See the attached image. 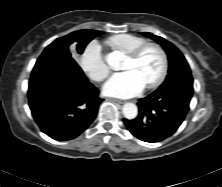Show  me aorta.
Wrapping results in <instances>:
<instances>
[{
	"label": "aorta",
	"instance_id": "aorta-1",
	"mask_svg": "<svg viewBox=\"0 0 222 187\" xmlns=\"http://www.w3.org/2000/svg\"><path fill=\"white\" fill-rule=\"evenodd\" d=\"M121 59V56L117 52H113L106 57V61L110 66L116 65ZM122 112L125 118L132 120L137 117L138 109L134 103H125L122 108Z\"/></svg>",
	"mask_w": 222,
	"mask_h": 187
}]
</instances>
